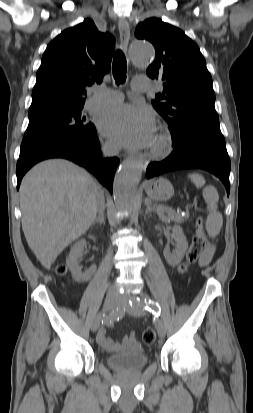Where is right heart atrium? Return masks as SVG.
Masks as SVG:
<instances>
[{"instance_id":"right-heart-atrium-1","label":"right heart atrium","mask_w":253,"mask_h":413,"mask_svg":"<svg viewBox=\"0 0 253 413\" xmlns=\"http://www.w3.org/2000/svg\"><path fill=\"white\" fill-rule=\"evenodd\" d=\"M104 148H105V151L108 153H113L117 149L116 145L113 144L112 142H106Z\"/></svg>"}]
</instances>
